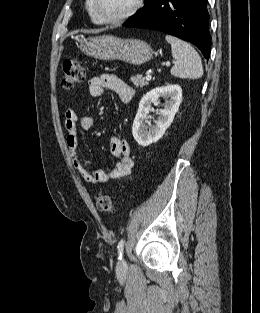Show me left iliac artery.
Masks as SVG:
<instances>
[{
	"mask_svg": "<svg viewBox=\"0 0 260 313\" xmlns=\"http://www.w3.org/2000/svg\"><path fill=\"white\" fill-rule=\"evenodd\" d=\"M117 248H118V254H119L118 259H122L123 249H124V239H121L119 241Z\"/></svg>",
	"mask_w": 260,
	"mask_h": 313,
	"instance_id": "44dca946",
	"label": "left iliac artery"
}]
</instances>
